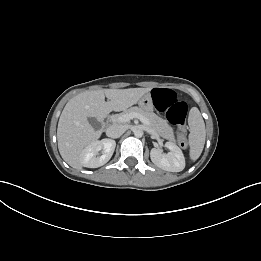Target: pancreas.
<instances>
[{
    "label": "pancreas",
    "mask_w": 261,
    "mask_h": 261,
    "mask_svg": "<svg viewBox=\"0 0 261 261\" xmlns=\"http://www.w3.org/2000/svg\"><path fill=\"white\" fill-rule=\"evenodd\" d=\"M130 113H138V114L142 115L143 117H145L146 119L149 120V122H150L149 127L153 131H155L158 135H160L161 137L168 139L170 141H175L173 128L167 123L166 120L159 117L158 115H156L153 112L144 111L138 107H131L129 109L124 110L123 113H121V114L113 115L111 117V120H112V122H115V123L119 122L118 118L121 115L130 114Z\"/></svg>",
    "instance_id": "obj_1"
}]
</instances>
